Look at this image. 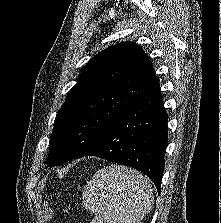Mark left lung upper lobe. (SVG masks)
I'll return each instance as SVG.
<instances>
[{
  "label": "left lung upper lobe",
  "mask_w": 221,
  "mask_h": 223,
  "mask_svg": "<svg viewBox=\"0 0 221 223\" xmlns=\"http://www.w3.org/2000/svg\"><path fill=\"white\" fill-rule=\"evenodd\" d=\"M157 79L136 43L121 42L95 55L56 115L46 163L53 167L75 159Z\"/></svg>",
  "instance_id": "5c2ea615"
}]
</instances>
